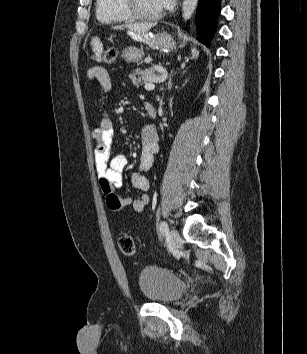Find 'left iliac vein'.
<instances>
[{"label": "left iliac vein", "instance_id": "left-iliac-vein-1", "mask_svg": "<svg viewBox=\"0 0 307 354\" xmlns=\"http://www.w3.org/2000/svg\"><path fill=\"white\" fill-rule=\"evenodd\" d=\"M170 242L174 248H179L181 246V237L176 230L170 231Z\"/></svg>", "mask_w": 307, "mask_h": 354}]
</instances>
